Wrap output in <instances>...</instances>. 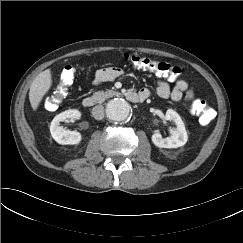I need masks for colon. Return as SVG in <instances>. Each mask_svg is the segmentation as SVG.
<instances>
[{
	"label": "colon",
	"instance_id": "obj_1",
	"mask_svg": "<svg viewBox=\"0 0 243 243\" xmlns=\"http://www.w3.org/2000/svg\"><path fill=\"white\" fill-rule=\"evenodd\" d=\"M125 60L135 67L150 70L157 74L173 81L180 75V68L163 61H155L148 57L140 55H125ZM76 69L71 66H65L61 73L59 84L54 90L53 94L46 98L45 105L49 109H55L65 98L68 88L75 79ZM192 111L199 116L202 124H209L215 117L214 110L207 104L205 100L198 99L192 104Z\"/></svg>",
	"mask_w": 243,
	"mask_h": 243
}]
</instances>
